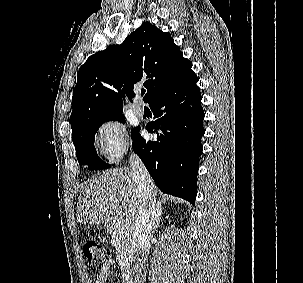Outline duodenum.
Returning <instances> with one entry per match:
<instances>
[{"mask_svg":"<svg viewBox=\"0 0 303 283\" xmlns=\"http://www.w3.org/2000/svg\"><path fill=\"white\" fill-rule=\"evenodd\" d=\"M115 225H116V223L114 221L108 222V227L110 229H114ZM126 278H127V283H135V279L133 278V276L130 274L129 271H126Z\"/></svg>","mask_w":303,"mask_h":283,"instance_id":"duodenum-1","label":"duodenum"}]
</instances>
